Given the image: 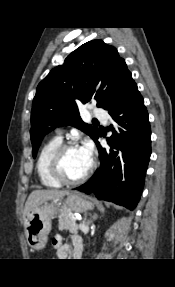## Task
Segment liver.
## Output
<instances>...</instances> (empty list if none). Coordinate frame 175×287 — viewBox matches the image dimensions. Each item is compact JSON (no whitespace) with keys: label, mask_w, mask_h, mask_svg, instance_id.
I'll return each mask as SVG.
<instances>
[{"label":"liver","mask_w":175,"mask_h":287,"mask_svg":"<svg viewBox=\"0 0 175 287\" xmlns=\"http://www.w3.org/2000/svg\"><path fill=\"white\" fill-rule=\"evenodd\" d=\"M68 193H69L68 191L56 190V189L32 191L25 203V207L23 211L24 220L26 216L28 215V213L34 208L42 205L43 203L49 200H58L60 198H63Z\"/></svg>","instance_id":"obj_1"}]
</instances>
